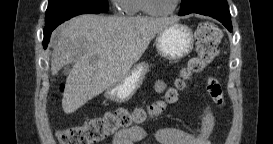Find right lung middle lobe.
<instances>
[{
    "label": "right lung middle lobe",
    "instance_id": "1",
    "mask_svg": "<svg viewBox=\"0 0 273 144\" xmlns=\"http://www.w3.org/2000/svg\"><path fill=\"white\" fill-rule=\"evenodd\" d=\"M81 8H92L102 13L107 12L108 0H49L46 10L45 26L50 25L57 15Z\"/></svg>",
    "mask_w": 273,
    "mask_h": 144
}]
</instances>
